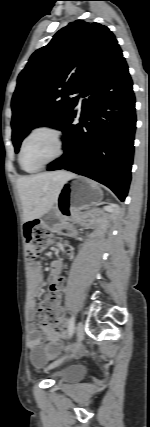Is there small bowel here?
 Segmentation results:
<instances>
[{
    "mask_svg": "<svg viewBox=\"0 0 150 427\" xmlns=\"http://www.w3.org/2000/svg\"><path fill=\"white\" fill-rule=\"evenodd\" d=\"M61 263L53 261L51 263V273L49 277L50 289L55 287L56 291H61L60 277ZM31 284L36 293L43 291V274L39 266L30 268ZM47 341L43 343V335L34 324L28 326V349L31 354V361L36 367L42 366L45 362L51 359L59 350V343L63 336L52 333L48 329H44Z\"/></svg>",
    "mask_w": 150,
    "mask_h": 427,
    "instance_id": "c3829d8e",
    "label": "small bowel"
}]
</instances>
